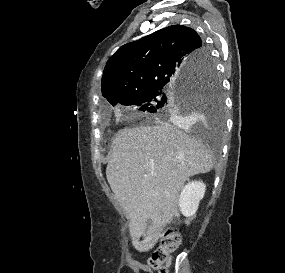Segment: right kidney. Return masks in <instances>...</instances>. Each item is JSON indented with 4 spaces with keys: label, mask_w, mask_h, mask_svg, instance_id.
<instances>
[{
    "label": "right kidney",
    "mask_w": 285,
    "mask_h": 273,
    "mask_svg": "<svg viewBox=\"0 0 285 273\" xmlns=\"http://www.w3.org/2000/svg\"><path fill=\"white\" fill-rule=\"evenodd\" d=\"M206 185L200 181L189 182L182 189L178 205L181 213L185 217H193L198 209L200 201L203 199ZM188 224V222H187Z\"/></svg>",
    "instance_id": "obj_1"
}]
</instances>
